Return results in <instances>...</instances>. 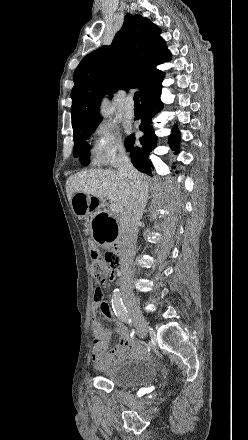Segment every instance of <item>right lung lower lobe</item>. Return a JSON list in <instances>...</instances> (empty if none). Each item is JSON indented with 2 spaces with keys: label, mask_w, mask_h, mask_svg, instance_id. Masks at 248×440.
Wrapping results in <instances>:
<instances>
[{
  "label": "right lung lower lobe",
  "mask_w": 248,
  "mask_h": 440,
  "mask_svg": "<svg viewBox=\"0 0 248 440\" xmlns=\"http://www.w3.org/2000/svg\"><path fill=\"white\" fill-rule=\"evenodd\" d=\"M161 90L149 94L141 101V124L139 129L144 132L140 138V147L134 146L135 136L130 135L126 139V149L130 152L133 165L141 172L152 175L153 167L150 160V153L156 147L157 137L152 129V118L163 109V103L160 100ZM179 133L177 129L173 130L169 138V144L178 153Z\"/></svg>",
  "instance_id": "98d812e1"
}]
</instances>
